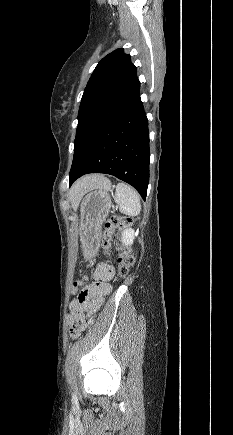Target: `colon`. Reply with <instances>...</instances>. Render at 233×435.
Instances as JSON below:
<instances>
[{"mask_svg": "<svg viewBox=\"0 0 233 435\" xmlns=\"http://www.w3.org/2000/svg\"><path fill=\"white\" fill-rule=\"evenodd\" d=\"M132 223L130 217L126 216H112L110 217L104 225V233L102 237V247L105 253H109L112 247V242L115 239H119L118 234L122 230L129 227ZM117 264L118 270L117 275L119 277H125L128 274L129 268L134 263V258L131 255L130 248L127 246H120L117 251ZM87 277L82 278V283H85ZM94 322V317L89 319V323Z\"/></svg>", "mask_w": 233, "mask_h": 435, "instance_id": "obj_1", "label": "colon"}]
</instances>
